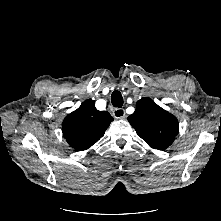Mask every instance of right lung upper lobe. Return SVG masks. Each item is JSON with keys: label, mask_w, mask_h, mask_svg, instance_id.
Instances as JSON below:
<instances>
[{"label": "right lung upper lobe", "mask_w": 221, "mask_h": 221, "mask_svg": "<svg viewBox=\"0 0 221 221\" xmlns=\"http://www.w3.org/2000/svg\"><path fill=\"white\" fill-rule=\"evenodd\" d=\"M112 120L107 111L97 110L95 102L88 99L64 119L63 135L71 147L83 151L104 135Z\"/></svg>", "instance_id": "obj_1"}]
</instances>
